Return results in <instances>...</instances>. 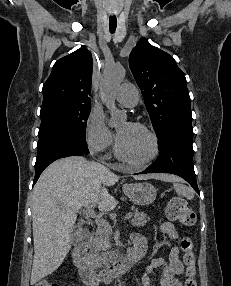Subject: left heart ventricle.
I'll return each instance as SVG.
<instances>
[{
	"instance_id": "b2bd125f",
	"label": "left heart ventricle",
	"mask_w": 231,
	"mask_h": 286,
	"mask_svg": "<svg viewBox=\"0 0 231 286\" xmlns=\"http://www.w3.org/2000/svg\"><path fill=\"white\" fill-rule=\"evenodd\" d=\"M118 141L122 152L134 161L145 160L153 151L151 137L131 124L125 123L118 128Z\"/></svg>"
}]
</instances>
